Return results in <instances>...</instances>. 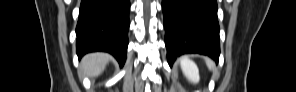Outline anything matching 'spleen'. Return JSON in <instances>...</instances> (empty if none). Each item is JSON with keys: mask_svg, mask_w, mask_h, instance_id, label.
<instances>
[{"mask_svg": "<svg viewBox=\"0 0 296 92\" xmlns=\"http://www.w3.org/2000/svg\"><path fill=\"white\" fill-rule=\"evenodd\" d=\"M207 66L210 70L214 69V64L210 59H206Z\"/></svg>", "mask_w": 296, "mask_h": 92, "instance_id": "3e777b00", "label": "spleen"}]
</instances>
